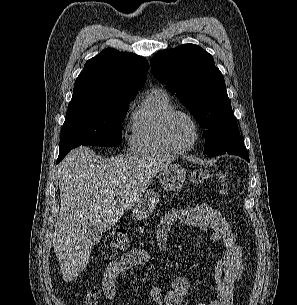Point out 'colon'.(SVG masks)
Listing matches in <instances>:
<instances>
[{"instance_id": "colon-1", "label": "colon", "mask_w": 297, "mask_h": 305, "mask_svg": "<svg viewBox=\"0 0 297 305\" xmlns=\"http://www.w3.org/2000/svg\"><path fill=\"white\" fill-rule=\"evenodd\" d=\"M212 177V172L209 169L199 168L191 173V181L194 184L202 185L207 183ZM223 183L225 180L220 176ZM128 246V237L124 228H114L110 231L106 240V250L108 254H116L124 251Z\"/></svg>"}]
</instances>
